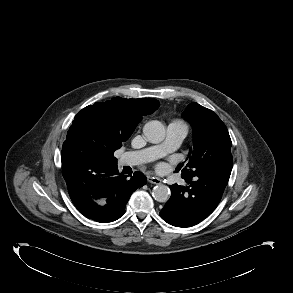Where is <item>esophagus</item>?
Here are the masks:
<instances>
[{
    "label": "esophagus",
    "mask_w": 293,
    "mask_h": 293,
    "mask_svg": "<svg viewBox=\"0 0 293 293\" xmlns=\"http://www.w3.org/2000/svg\"><path fill=\"white\" fill-rule=\"evenodd\" d=\"M148 182L152 184H160L161 179L154 177V176H148Z\"/></svg>",
    "instance_id": "1"
}]
</instances>
